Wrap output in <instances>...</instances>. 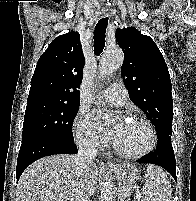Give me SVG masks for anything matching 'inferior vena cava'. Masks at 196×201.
<instances>
[{"label": "inferior vena cava", "instance_id": "1", "mask_svg": "<svg viewBox=\"0 0 196 201\" xmlns=\"http://www.w3.org/2000/svg\"><path fill=\"white\" fill-rule=\"evenodd\" d=\"M97 149L95 145L86 139H82L78 143V154L75 157V162L80 170L86 164L92 163L94 158L96 157ZM89 198L83 199V201H89Z\"/></svg>", "mask_w": 196, "mask_h": 201}]
</instances>
